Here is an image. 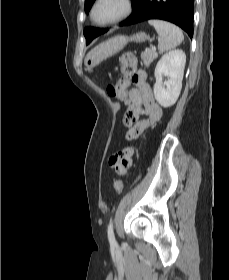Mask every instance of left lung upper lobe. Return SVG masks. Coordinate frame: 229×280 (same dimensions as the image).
Wrapping results in <instances>:
<instances>
[{
	"instance_id": "left-lung-upper-lobe-1",
	"label": "left lung upper lobe",
	"mask_w": 229,
	"mask_h": 280,
	"mask_svg": "<svg viewBox=\"0 0 229 280\" xmlns=\"http://www.w3.org/2000/svg\"><path fill=\"white\" fill-rule=\"evenodd\" d=\"M95 0H85V11L88 12L91 8L92 3ZM135 2L137 0H134ZM106 29H98L93 27H86L84 29V36L86 37V44H89L93 38L99 36L100 34L106 32Z\"/></svg>"
}]
</instances>
